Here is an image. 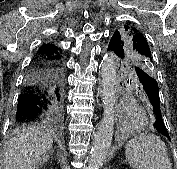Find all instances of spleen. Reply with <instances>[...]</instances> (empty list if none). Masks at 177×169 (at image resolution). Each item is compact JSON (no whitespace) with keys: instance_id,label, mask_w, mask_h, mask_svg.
I'll use <instances>...</instances> for the list:
<instances>
[{"instance_id":"obj_1","label":"spleen","mask_w":177,"mask_h":169,"mask_svg":"<svg viewBox=\"0 0 177 169\" xmlns=\"http://www.w3.org/2000/svg\"><path fill=\"white\" fill-rule=\"evenodd\" d=\"M125 154L134 169H172L165 143L151 133H142L129 140Z\"/></svg>"}]
</instances>
